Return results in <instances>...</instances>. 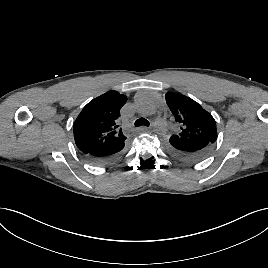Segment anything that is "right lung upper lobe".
<instances>
[{
    "instance_id": "right-lung-upper-lobe-1",
    "label": "right lung upper lobe",
    "mask_w": 268,
    "mask_h": 268,
    "mask_svg": "<svg viewBox=\"0 0 268 268\" xmlns=\"http://www.w3.org/2000/svg\"><path fill=\"white\" fill-rule=\"evenodd\" d=\"M126 101L125 95L109 91L83 108L73 125L75 143L81 152L105 151L124 145L126 137L117 123Z\"/></svg>"
}]
</instances>
